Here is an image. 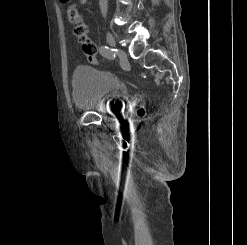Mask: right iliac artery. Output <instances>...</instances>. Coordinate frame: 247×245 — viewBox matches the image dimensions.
Masks as SVG:
<instances>
[{
	"label": "right iliac artery",
	"instance_id": "1",
	"mask_svg": "<svg viewBox=\"0 0 247 245\" xmlns=\"http://www.w3.org/2000/svg\"><path fill=\"white\" fill-rule=\"evenodd\" d=\"M99 52L102 56H104L107 59H114L115 58L114 50L110 49L107 46H101L99 48Z\"/></svg>",
	"mask_w": 247,
	"mask_h": 245
}]
</instances>
